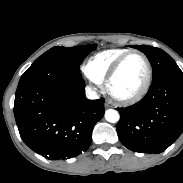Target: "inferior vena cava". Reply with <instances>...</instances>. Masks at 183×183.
Masks as SVG:
<instances>
[{
    "instance_id": "602c4592",
    "label": "inferior vena cava",
    "mask_w": 183,
    "mask_h": 183,
    "mask_svg": "<svg viewBox=\"0 0 183 183\" xmlns=\"http://www.w3.org/2000/svg\"><path fill=\"white\" fill-rule=\"evenodd\" d=\"M86 97L88 99L94 100V99H98L99 98V95L91 87H87L86 88Z\"/></svg>"
}]
</instances>
